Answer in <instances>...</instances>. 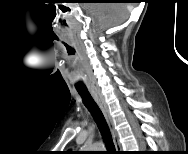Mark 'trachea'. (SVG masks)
<instances>
[{
  "label": "trachea",
  "mask_w": 188,
  "mask_h": 154,
  "mask_svg": "<svg viewBox=\"0 0 188 154\" xmlns=\"http://www.w3.org/2000/svg\"><path fill=\"white\" fill-rule=\"evenodd\" d=\"M79 95L81 96L84 105L86 106V108L89 110V112L91 113L93 119L95 120L100 133L106 143L107 146V153L108 154H115L116 153V149L112 140V136L109 130V127L107 125V122L104 118L103 113L101 112L100 108L98 107V105L96 104V102L94 101V99L92 98V96L90 95L89 91H82V90H78Z\"/></svg>",
  "instance_id": "1"
}]
</instances>
